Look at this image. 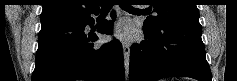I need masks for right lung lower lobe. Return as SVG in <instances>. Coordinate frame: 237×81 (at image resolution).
Returning <instances> with one entry per match:
<instances>
[{
  "instance_id": "98d812e1",
  "label": "right lung lower lobe",
  "mask_w": 237,
  "mask_h": 81,
  "mask_svg": "<svg viewBox=\"0 0 237 81\" xmlns=\"http://www.w3.org/2000/svg\"><path fill=\"white\" fill-rule=\"evenodd\" d=\"M94 4L80 15L41 23L32 81H124L121 43L113 40L95 47L89 41L98 37L84 33L86 25L94 24L90 15L99 13V4ZM111 16L115 18V12ZM98 32L110 34L112 22L104 20Z\"/></svg>"
}]
</instances>
